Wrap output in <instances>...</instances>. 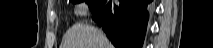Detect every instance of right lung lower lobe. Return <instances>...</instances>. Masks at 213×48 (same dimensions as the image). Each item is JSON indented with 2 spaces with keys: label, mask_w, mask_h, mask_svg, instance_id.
Masks as SVG:
<instances>
[{
  "label": "right lung lower lobe",
  "mask_w": 213,
  "mask_h": 48,
  "mask_svg": "<svg viewBox=\"0 0 213 48\" xmlns=\"http://www.w3.org/2000/svg\"><path fill=\"white\" fill-rule=\"evenodd\" d=\"M150 0H99L92 7L94 20L102 26L116 48H141L148 21Z\"/></svg>",
  "instance_id": "1"
}]
</instances>
